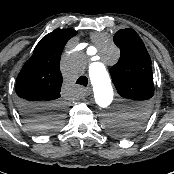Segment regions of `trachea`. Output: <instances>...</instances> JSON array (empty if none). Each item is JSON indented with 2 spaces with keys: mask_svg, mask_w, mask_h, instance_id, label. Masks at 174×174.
<instances>
[{
  "mask_svg": "<svg viewBox=\"0 0 174 174\" xmlns=\"http://www.w3.org/2000/svg\"><path fill=\"white\" fill-rule=\"evenodd\" d=\"M76 84H80V85H83V86H87L88 84V79L86 76H81L77 79L76 81Z\"/></svg>",
  "mask_w": 174,
  "mask_h": 174,
  "instance_id": "3493384b",
  "label": "trachea"
}]
</instances>
